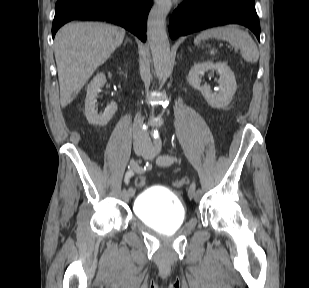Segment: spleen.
Segmentation results:
<instances>
[{
  "label": "spleen",
  "mask_w": 309,
  "mask_h": 288,
  "mask_svg": "<svg viewBox=\"0 0 309 288\" xmlns=\"http://www.w3.org/2000/svg\"><path fill=\"white\" fill-rule=\"evenodd\" d=\"M209 38L221 39L229 42L241 50L242 58L249 63H256L259 59L257 45L250 35L235 26L215 27L202 31L195 39L196 43ZM217 51L212 49L210 55H215Z\"/></svg>",
  "instance_id": "1"
}]
</instances>
